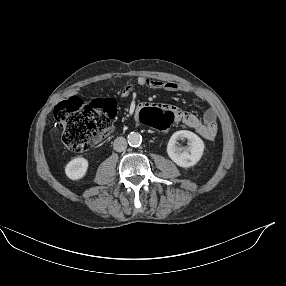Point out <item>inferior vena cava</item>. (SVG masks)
Returning <instances> with one entry per match:
<instances>
[{
    "mask_svg": "<svg viewBox=\"0 0 286 286\" xmlns=\"http://www.w3.org/2000/svg\"><path fill=\"white\" fill-rule=\"evenodd\" d=\"M114 150L122 152L127 148V141L124 137H117L113 143Z\"/></svg>",
    "mask_w": 286,
    "mask_h": 286,
    "instance_id": "602c4592",
    "label": "inferior vena cava"
}]
</instances>
